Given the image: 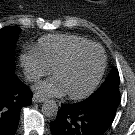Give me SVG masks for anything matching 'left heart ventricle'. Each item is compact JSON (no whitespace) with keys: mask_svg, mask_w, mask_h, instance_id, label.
Here are the masks:
<instances>
[{"mask_svg":"<svg viewBox=\"0 0 135 135\" xmlns=\"http://www.w3.org/2000/svg\"><path fill=\"white\" fill-rule=\"evenodd\" d=\"M102 64V54L97 48H90L75 57L66 66L55 72L67 93L79 94L86 90L97 77Z\"/></svg>","mask_w":135,"mask_h":135,"instance_id":"b2bd125f","label":"left heart ventricle"}]
</instances>
